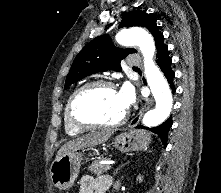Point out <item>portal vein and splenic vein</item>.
<instances>
[{
    "label": "portal vein and splenic vein",
    "mask_w": 221,
    "mask_h": 193,
    "mask_svg": "<svg viewBox=\"0 0 221 193\" xmlns=\"http://www.w3.org/2000/svg\"><path fill=\"white\" fill-rule=\"evenodd\" d=\"M111 169V163H108L107 165H106V170H110Z\"/></svg>",
    "instance_id": "18ae733b"
}]
</instances>
